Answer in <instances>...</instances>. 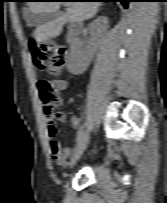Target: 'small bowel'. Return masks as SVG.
Here are the masks:
<instances>
[{"mask_svg": "<svg viewBox=\"0 0 167 203\" xmlns=\"http://www.w3.org/2000/svg\"><path fill=\"white\" fill-rule=\"evenodd\" d=\"M54 86L58 90H65L67 83L64 80H55ZM47 131L50 138L49 150L51 152L53 160L64 167L66 165L67 158L73 153V149L70 147H62L56 140L57 129L55 127L54 119L50 116H46ZM71 124L75 129L79 128L80 120L77 117L71 119Z\"/></svg>", "mask_w": 167, "mask_h": 203, "instance_id": "1", "label": "small bowel"}]
</instances>
